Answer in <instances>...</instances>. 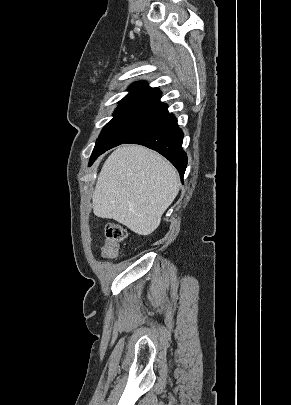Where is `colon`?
<instances>
[{
    "label": "colon",
    "mask_w": 291,
    "mask_h": 405,
    "mask_svg": "<svg viewBox=\"0 0 291 405\" xmlns=\"http://www.w3.org/2000/svg\"><path fill=\"white\" fill-rule=\"evenodd\" d=\"M105 237L102 256L107 259H115L118 256L120 245L126 237V231L120 224L110 222L105 226Z\"/></svg>",
    "instance_id": "1"
}]
</instances>
